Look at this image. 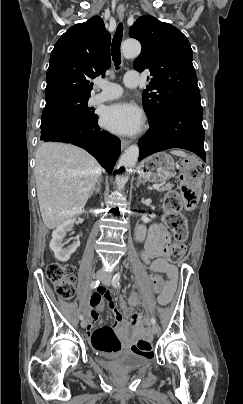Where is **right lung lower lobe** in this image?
I'll return each instance as SVG.
<instances>
[{
  "label": "right lung lower lobe",
  "instance_id": "98d812e1",
  "mask_svg": "<svg viewBox=\"0 0 243 404\" xmlns=\"http://www.w3.org/2000/svg\"><path fill=\"white\" fill-rule=\"evenodd\" d=\"M97 120L98 118L89 119L78 115L62 116L40 127V140L82 147L111 173L120 154V140L101 130Z\"/></svg>",
  "mask_w": 243,
  "mask_h": 404
}]
</instances>
